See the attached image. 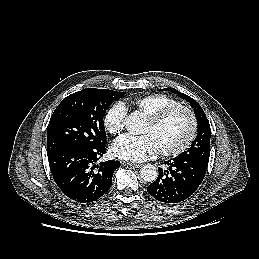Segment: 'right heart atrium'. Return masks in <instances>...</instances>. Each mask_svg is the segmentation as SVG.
Listing matches in <instances>:
<instances>
[{
	"instance_id": "right-heart-atrium-1",
	"label": "right heart atrium",
	"mask_w": 259,
	"mask_h": 259,
	"mask_svg": "<svg viewBox=\"0 0 259 259\" xmlns=\"http://www.w3.org/2000/svg\"><path fill=\"white\" fill-rule=\"evenodd\" d=\"M126 115V105L121 101L114 103L104 115L103 124L105 129L113 135L121 133L125 125Z\"/></svg>"
}]
</instances>
